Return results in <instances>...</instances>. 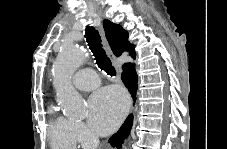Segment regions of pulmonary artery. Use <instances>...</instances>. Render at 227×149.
<instances>
[{"label": "pulmonary artery", "instance_id": "pulmonary-artery-1", "mask_svg": "<svg viewBox=\"0 0 227 149\" xmlns=\"http://www.w3.org/2000/svg\"><path fill=\"white\" fill-rule=\"evenodd\" d=\"M73 84L82 91L93 90L99 85V77L92 69H81L74 74Z\"/></svg>", "mask_w": 227, "mask_h": 149}]
</instances>
